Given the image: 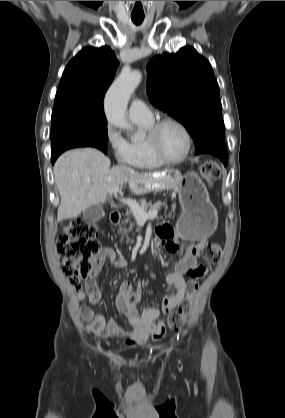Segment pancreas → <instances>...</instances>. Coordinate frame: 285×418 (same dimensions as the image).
Masks as SVG:
<instances>
[{"label": "pancreas", "instance_id": "1", "mask_svg": "<svg viewBox=\"0 0 285 418\" xmlns=\"http://www.w3.org/2000/svg\"><path fill=\"white\" fill-rule=\"evenodd\" d=\"M161 203H143L141 205V207L145 210V211H150L152 209H160ZM175 211V205H172V210L171 213H173ZM131 216L135 217L134 214L132 213V215H127L126 219L124 221H122V224L119 226V230L118 233H121V235H128L130 232L133 231V228L135 226V222H131ZM129 223V228H126V224ZM136 231H139V229H136Z\"/></svg>", "mask_w": 285, "mask_h": 418}]
</instances>
